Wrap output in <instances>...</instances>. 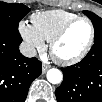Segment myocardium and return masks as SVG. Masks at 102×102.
Masks as SVG:
<instances>
[{"instance_id": "1", "label": "myocardium", "mask_w": 102, "mask_h": 102, "mask_svg": "<svg viewBox=\"0 0 102 102\" xmlns=\"http://www.w3.org/2000/svg\"><path fill=\"white\" fill-rule=\"evenodd\" d=\"M78 22L87 23L89 30H90V35H89V38H88V41H87L85 47L82 49V51L77 56H75L73 58L63 59V58L58 57L55 54L56 46L64 38V36L71 29V27L74 26ZM93 41H94V29H93L91 21L85 17H77L74 20L70 21L68 24H66L57 34H55L53 36V38L51 39L50 44H49V51H50L51 56L59 64L64 65V66H70V65H74V64L80 62L87 55V53L89 52V50L93 44Z\"/></svg>"}]
</instances>
